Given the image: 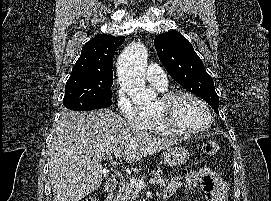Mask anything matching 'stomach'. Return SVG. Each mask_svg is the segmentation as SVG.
<instances>
[{
  "instance_id": "0dacf381",
  "label": "stomach",
  "mask_w": 271,
  "mask_h": 201,
  "mask_svg": "<svg viewBox=\"0 0 271 201\" xmlns=\"http://www.w3.org/2000/svg\"><path fill=\"white\" fill-rule=\"evenodd\" d=\"M190 156L191 153L185 147L174 146L164 152L163 159L167 166L175 167L186 163Z\"/></svg>"
}]
</instances>
